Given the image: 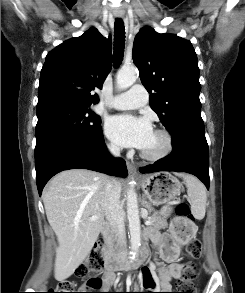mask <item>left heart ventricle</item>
Instances as JSON below:
<instances>
[{
  "instance_id": "obj_1",
  "label": "left heart ventricle",
  "mask_w": 245,
  "mask_h": 293,
  "mask_svg": "<svg viewBox=\"0 0 245 293\" xmlns=\"http://www.w3.org/2000/svg\"><path fill=\"white\" fill-rule=\"evenodd\" d=\"M163 147L164 138L160 134L154 132L150 141L142 150L146 153L156 154L159 153L163 149Z\"/></svg>"
}]
</instances>
